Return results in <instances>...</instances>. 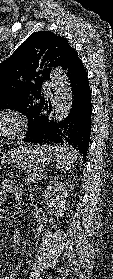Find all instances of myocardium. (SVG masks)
Returning a JSON list of instances; mask_svg holds the SVG:
<instances>
[{"mask_svg": "<svg viewBox=\"0 0 113 279\" xmlns=\"http://www.w3.org/2000/svg\"><path fill=\"white\" fill-rule=\"evenodd\" d=\"M0 124H2L0 130L1 140L19 136L25 128V122L22 115L20 112L12 108L1 109Z\"/></svg>", "mask_w": 113, "mask_h": 279, "instance_id": "myocardium-1", "label": "myocardium"}]
</instances>
